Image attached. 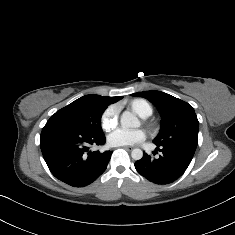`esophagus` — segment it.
<instances>
[{
    "mask_svg": "<svg viewBox=\"0 0 235 235\" xmlns=\"http://www.w3.org/2000/svg\"><path fill=\"white\" fill-rule=\"evenodd\" d=\"M122 148L131 151L133 149V146H122Z\"/></svg>",
    "mask_w": 235,
    "mask_h": 235,
    "instance_id": "esophagus-1",
    "label": "esophagus"
}]
</instances>
